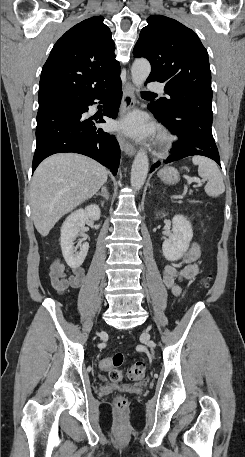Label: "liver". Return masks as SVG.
I'll return each instance as SVG.
<instances>
[{
	"label": "liver",
	"instance_id": "liver-1",
	"mask_svg": "<svg viewBox=\"0 0 245 457\" xmlns=\"http://www.w3.org/2000/svg\"><path fill=\"white\" fill-rule=\"evenodd\" d=\"M108 170L96 160L59 152L37 166L30 188L35 229L47 237L57 220L91 198L107 180Z\"/></svg>",
	"mask_w": 245,
	"mask_h": 457
}]
</instances>
